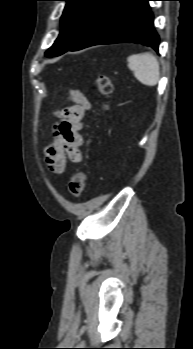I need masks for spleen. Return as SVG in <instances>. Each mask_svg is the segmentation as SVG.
<instances>
[{
	"label": "spleen",
	"instance_id": "1",
	"mask_svg": "<svg viewBox=\"0 0 193 349\" xmlns=\"http://www.w3.org/2000/svg\"><path fill=\"white\" fill-rule=\"evenodd\" d=\"M128 67L138 81L147 86H155L160 78V67L156 57L150 52L134 54L127 58Z\"/></svg>",
	"mask_w": 193,
	"mask_h": 349
}]
</instances>
